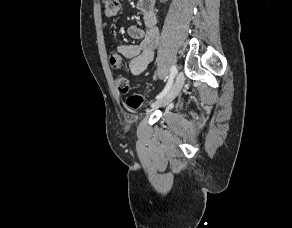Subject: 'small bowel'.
<instances>
[{
	"mask_svg": "<svg viewBox=\"0 0 292 228\" xmlns=\"http://www.w3.org/2000/svg\"><path fill=\"white\" fill-rule=\"evenodd\" d=\"M154 0H138L137 8L142 15L143 28L133 25L128 27L130 37L140 39L139 44L118 45L115 51L121 58L129 60V69L132 75H141L153 61L154 51L159 41V27L153 8Z\"/></svg>",
	"mask_w": 292,
	"mask_h": 228,
	"instance_id": "small-bowel-1",
	"label": "small bowel"
}]
</instances>
